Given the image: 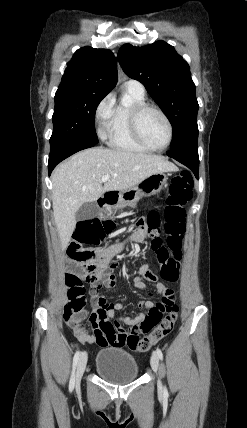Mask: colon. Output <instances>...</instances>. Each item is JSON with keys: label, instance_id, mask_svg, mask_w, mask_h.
Returning a JSON list of instances; mask_svg holds the SVG:
<instances>
[{"label": "colon", "instance_id": "5ec220e1", "mask_svg": "<svg viewBox=\"0 0 247 428\" xmlns=\"http://www.w3.org/2000/svg\"><path fill=\"white\" fill-rule=\"evenodd\" d=\"M193 185V178L188 172H182L171 180L164 213L166 240L157 235L160 233V218L156 210H151L148 217H137L135 221L137 226H147L154 235L151 247L156 253L160 277L167 282H175L180 276L185 205L192 197ZM125 222V219L118 217H105L104 221L101 217H90L89 221L81 222L77 229L74 238L76 244L68 252L70 267L74 273L66 276L67 303L63 315L75 334L87 333L82 323L86 317V298L81 279L98 287L105 278V271L99 264L97 255L93 251L82 249L78 243L93 244L98 243L99 239H107L108 232L120 230V225ZM136 304L138 309H143V305L149 309V318H140L134 323L135 327L128 328H122L120 322L109 321L105 306L94 305L89 318L94 339L97 342L105 339L112 346H127L132 351L144 352L172 332L178 317V306L172 298L140 300ZM139 334L146 336L140 337Z\"/></svg>", "mask_w": 247, "mask_h": 428}]
</instances>
